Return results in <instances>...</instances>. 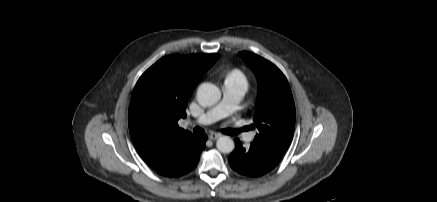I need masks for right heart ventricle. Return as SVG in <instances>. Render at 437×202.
Here are the masks:
<instances>
[{
    "instance_id": "1",
    "label": "right heart ventricle",
    "mask_w": 437,
    "mask_h": 202,
    "mask_svg": "<svg viewBox=\"0 0 437 202\" xmlns=\"http://www.w3.org/2000/svg\"><path fill=\"white\" fill-rule=\"evenodd\" d=\"M227 79H240V80H244V76L243 74L238 71V70H234L232 72H230L227 76Z\"/></svg>"
}]
</instances>
